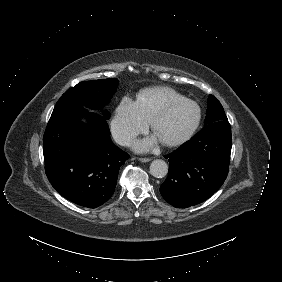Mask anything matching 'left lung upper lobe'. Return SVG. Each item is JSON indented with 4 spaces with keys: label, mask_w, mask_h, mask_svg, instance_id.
<instances>
[{
    "label": "left lung upper lobe",
    "mask_w": 282,
    "mask_h": 282,
    "mask_svg": "<svg viewBox=\"0 0 282 282\" xmlns=\"http://www.w3.org/2000/svg\"><path fill=\"white\" fill-rule=\"evenodd\" d=\"M223 120H227V117L222 105L214 96L209 95L205 125Z\"/></svg>",
    "instance_id": "left-lung-upper-lobe-1"
}]
</instances>
